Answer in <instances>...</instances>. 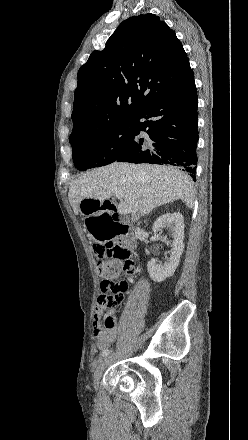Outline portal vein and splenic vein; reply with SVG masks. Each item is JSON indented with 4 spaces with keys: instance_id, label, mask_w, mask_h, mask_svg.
<instances>
[{
    "instance_id": "portal-vein-and-splenic-vein-1",
    "label": "portal vein and splenic vein",
    "mask_w": 248,
    "mask_h": 440,
    "mask_svg": "<svg viewBox=\"0 0 248 440\" xmlns=\"http://www.w3.org/2000/svg\"><path fill=\"white\" fill-rule=\"evenodd\" d=\"M109 189H110L113 193H115V195H116V197H117L118 199H122L121 191H120L117 187L109 186ZM118 209H119V212H120V213H123V214L130 213V210L128 209L127 205H125L124 203H120L119 206H118Z\"/></svg>"
}]
</instances>
